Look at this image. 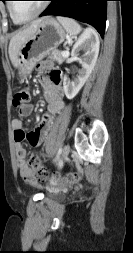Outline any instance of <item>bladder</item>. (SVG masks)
I'll return each mask as SVG.
<instances>
[{
  "label": "bladder",
  "instance_id": "bladder-1",
  "mask_svg": "<svg viewBox=\"0 0 133 253\" xmlns=\"http://www.w3.org/2000/svg\"><path fill=\"white\" fill-rule=\"evenodd\" d=\"M46 195L52 199H59L62 197V193L57 190H49L46 192Z\"/></svg>",
  "mask_w": 133,
  "mask_h": 253
}]
</instances>
